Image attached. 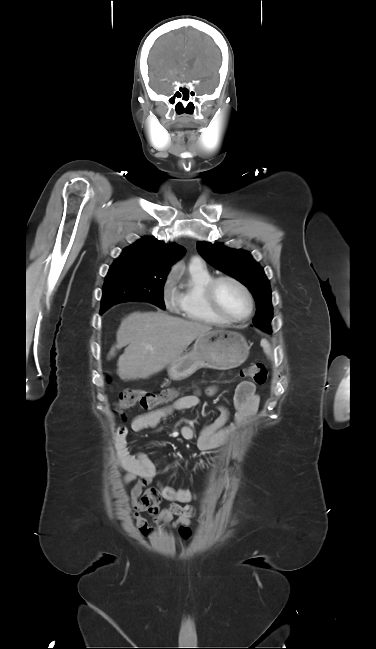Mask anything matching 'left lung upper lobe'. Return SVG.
I'll use <instances>...</instances> for the list:
<instances>
[{"instance_id":"5c2ea615","label":"left lung upper lobe","mask_w":376,"mask_h":649,"mask_svg":"<svg viewBox=\"0 0 376 649\" xmlns=\"http://www.w3.org/2000/svg\"><path fill=\"white\" fill-rule=\"evenodd\" d=\"M201 256L215 268L229 274L253 292L257 311L254 325L270 331L272 320L271 290L262 267L254 261L249 252L225 247L221 243L198 242Z\"/></svg>"}]
</instances>
